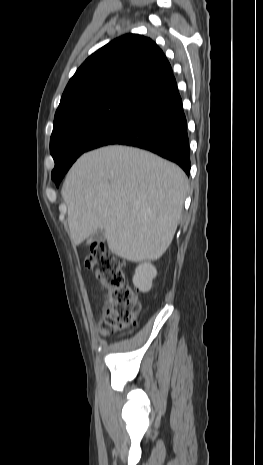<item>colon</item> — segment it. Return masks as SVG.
<instances>
[{"instance_id":"obj_1","label":"colon","mask_w":263,"mask_h":465,"mask_svg":"<svg viewBox=\"0 0 263 465\" xmlns=\"http://www.w3.org/2000/svg\"><path fill=\"white\" fill-rule=\"evenodd\" d=\"M85 265L94 272L105 292L102 333L110 334L134 325L140 303L126 280L122 261L104 243L95 242L90 246Z\"/></svg>"}]
</instances>
